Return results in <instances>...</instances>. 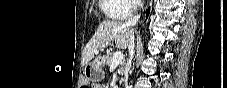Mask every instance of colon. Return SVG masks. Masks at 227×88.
Wrapping results in <instances>:
<instances>
[{"label": "colon", "mask_w": 227, "mask_h": 88, "mask_svg": "<svg viewBox=\"0 0 227 88\" xmlns=\"http://www.w3.org/2000/svg\"><path fill=\"white\" fill-rule=\"evenodd\" d=\"M82 87L83 88H88V85L87 84H84Z\"/></svg>", "instance_id": "colon-1"}]
</instances>
